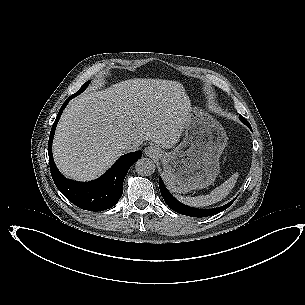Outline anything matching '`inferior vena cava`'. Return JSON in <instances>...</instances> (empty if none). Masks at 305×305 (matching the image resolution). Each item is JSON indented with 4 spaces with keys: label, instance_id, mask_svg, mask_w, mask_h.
I'll return each mask as SVG.
<instances>
[{
    "label": "inferior vena cava",
    "instance_id": "obj_1",
    "mask_svg": "<svg viewBox=\"0 0 305 305\" xmlns=\"http://www.w3.org/2000/svg\"><path fill=\"white\" fill-rule=\"evenodd\" d=\"M141 143L135 140H126L123 144V149L126 152H134L139 149Z\"/></svg>",
    "mask_w": 305,
    "mask_h": 305
}]
</instances>
